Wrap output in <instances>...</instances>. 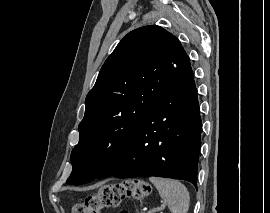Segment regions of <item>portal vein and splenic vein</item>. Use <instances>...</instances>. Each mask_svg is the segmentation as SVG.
I'll list each match as a JSON object with an SVG mask.
<instances>
[{"label":"portal vein and splenic vein","instance_id":"portal-vein-and-splenic-vein-1","mask_svg":"<svg viewBox=\"0 0 270 213\" xmlns=\"http://www.w3.org/2000/svg\"><path fill=\"white\" fill-rule=\"evenodd\" d=\"M161 208H164V205H162ZM158 210H159V208H156L154 210L148 211L147 213H153L154 211H158Z\"/></svg>","mask_w":270,"mask_h":213}]
</instances>
